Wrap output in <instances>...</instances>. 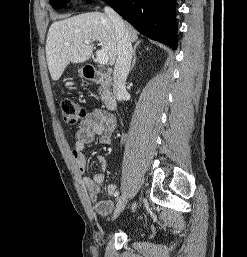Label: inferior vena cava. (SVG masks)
Segmentation results:
<instances>
[{
	"instance_id": "obj_1",
	"label": "inferior vena cava",
	"mask_w": 247,
	"mask_h": 257,
	"mask_svg": "<svg viewBox=\"0 0 247 257\" xmlns=\"http://www.w3.org/2000/svg\"><path fill=\"white\" fill-rule=\"evenodd\" d=\"M104 11L115 27L118 55L113 73V90L116 98L119 101H122L127 95L126 79L130 70L133 55L132 43L126 25L121 17L109 6H106Z\"/></svg>"
}]
</instances>
